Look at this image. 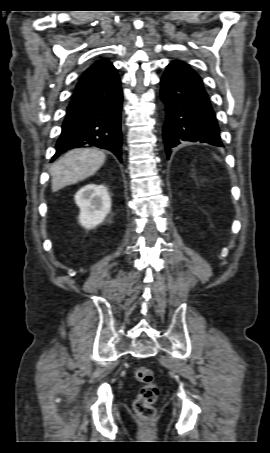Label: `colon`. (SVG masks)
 Segmentation results:
<instances>
[{
    "label": "colon",
    "instance_id": "1",
    "mask_svg": "<svg viewBox=\"0 0 270 453\" xmlns=\"http://www.w3.org/2000/svg\"><path fill=\"white\" fill-rule=\"evenodd\" d=\"M134 375L143 384L134 403L135 411L142 419L151 420L155 415L154 403L160 393L159 387L152 370L146 366H138Z\"/></svg>",
    "mask_w": 270,
    "mask_h": 453
}]
</instances>
